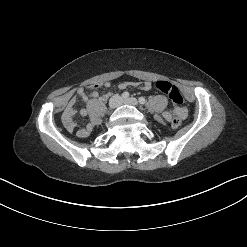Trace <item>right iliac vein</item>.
Listing matches in <instances>:
<instances>
[{"instance_id":"1","label":"right iliac vein","mask_w":247,"mask_h":247,"mask_svg":"<svg viewBox=\"0 0 247 247\" xmlns=\"http://www.w3.org/2000/svg\"><path fill=\"white\" fill-rule=\"evenodd\" d=\"M121 104V97L119 95H114L109 100V109L114 110Z\"/></svg>"}]
</instances>
